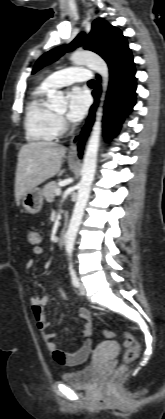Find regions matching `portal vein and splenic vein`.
<instances>
[{"instance_id": "portal-vein-and-splenic-vein-1", "label": "portal vein and splenic vein", "mask_w": 165, "mask_h": 419, "mask_svg": "<svg viewBox=\"0 0 165 419\" xmlns=\"http://www.w3.org/2000/svg\"><path fill=\"white\" fill-rule=\"evenodd\" d=\"M55 194H56L57 196H59V195L61 194V189H60V188L56 189V190H55Z\"/></svg>"}]
</instances>
